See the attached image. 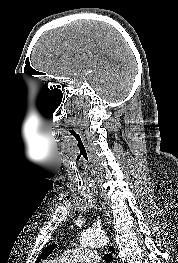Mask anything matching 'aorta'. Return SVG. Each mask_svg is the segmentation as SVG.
<instances>
[{"label": "aorta", "mask_w": 178, "mask_h": 263, "mask_svg": "<svg viewBox=\"0 0 178 263\" xmlns=\"http://www.w3.org/2000/svg\"><path fill=\"white\" fill-rule=\"evenodd\" d=\"M82 246H105L108 242L107 236L101 231L86 230L79 237Z\"/></svg>", "instance_id": "obj_1"}]
</instances>
